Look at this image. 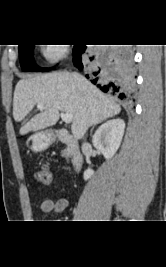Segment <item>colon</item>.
Listing matches in <instances>:
<instances>
[{
    "label": "colon",
    "instance_id": "obj_1",
    "mask_svg": "<svg viewBox=\"0 0 166 267\" xmlns=\"http://www.w3.org/2000/svg\"><path fill=\"white\" fill-rule=\"evenodd\" d=\"M36 178L39 183L49 185L52 181V174L47 164H42L36 172Z\"/></svg>",
    "mask_w": 166,
    "mask_h": 267
}]
</instances>
